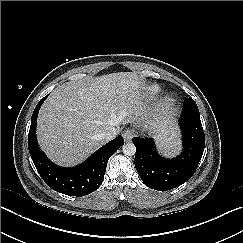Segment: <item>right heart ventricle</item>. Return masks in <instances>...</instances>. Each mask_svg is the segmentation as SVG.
Masks as SVG:
<instances>
[{"label":"right heart ventricle","instance_id":"obj_1","mask_svg":"<svg viewBox=\"0 0 243 243\" xmlns=\"http://www.w3.org/2000/svg\"><path fill=\"white\" fill-rule=\"evenodd\" d=\"M162 93V88L159 85H150L145 88V97L155 99Z\"/></svg>","mask_w":243,"mask_h":243}]
</instances>
